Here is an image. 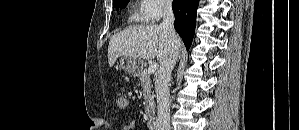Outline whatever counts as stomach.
I'll list each match as a JSON object with an SVG mask.
<instances>
[{
    "mask_svg": "<svg viewBox=\"0 0 299 130\" xmlns=\"http://www.w3.org/2000/svg\"><path fill=\"white\" fill-rule=\"evenodd\" d=\"M143 66V61L131 56H121L119 67L126 73L137 74Z\"/></svg>",
    "mask_w": 299,
    "mask_h": 130,
    "instance_id": "stomach-1",
    "label": "stomach"
}]
</instances>
